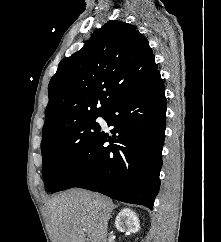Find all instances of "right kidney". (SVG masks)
Instances as JSON below:
<instances>
[{"label":"right kidney","mask_w":221,"mask_h":242,"mask_svg":"<svg viewBox=\"0 0 221 242\" xmlns=\"http://www.w3.org/2000/svg\"><path fill=\"white\" fill-rule=\"evenodd\" d=\"M115 226L120 232L136 233L140 229L136 213L129 208L120 211L116 217Z\"/></svg>","instance_id":"1"}]
</instances>
